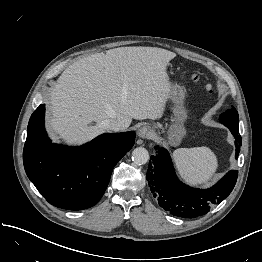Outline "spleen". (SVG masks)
<instances>
[{
  "instance_id": "obj_1",
  "label": "spleen",
  "mask_w": 262,
  "mask_h": 262,
  "mask_svg": "<svg viewBox=\"0 0 262 262\" xmlns=\"http://www.w3.org/2000/svg\"><path fill=\"white\" fill-rule=\"evenodd\" d=\"M181 177L193 185H209L218 168V160L209 147L179 148L173 152Z\"/></svg>"
}]
</instances>
